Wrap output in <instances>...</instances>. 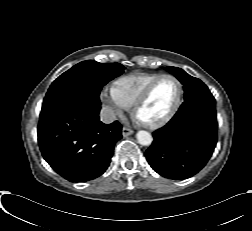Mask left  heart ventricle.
<instances>
[{
    "mask_svg": "<svg viewBox=\"0 0 252 231\" xmlns=\"http://www.w3.org/2000/svg\"><path fill=\"white\" fill-rule=\"evenodd\" d=\"M177 84L170 78L162 79L153 89L148 100L138 111V118L144 122H153L165 116L177 97Z\"/></svg>",
    "mask_w": 252,
    "mask_h": 231,
    "instance_id": "obj_1",
    "label": "left heart ventricle"
}]
</instances>
